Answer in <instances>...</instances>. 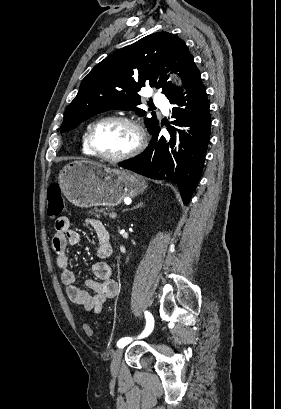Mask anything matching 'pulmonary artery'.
<instances>
[{
	"label": "pulmonary artery",
	"mask_w": 281,
	"mask_h": 409,
	"mask_svg": "<svg viewBox=\"0 0 281 409\" xmlns=\"http://www.w3.org/2000/svg\"><path fill=\"white\" fill-rule=\"evenodd\" d=\"M167 100H168V97H167L166 94H157V95L155 96V101H156L157 103H163V104H161L160 106H161L162 110H163L165 113H168V110H169V106H168V104H166Z\"/></svg>",
	"instance_id": "1"
}]
</instances>
